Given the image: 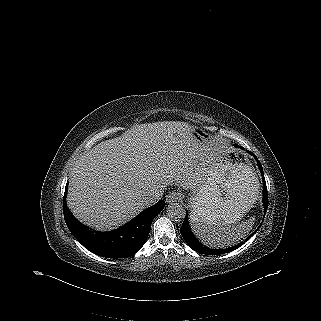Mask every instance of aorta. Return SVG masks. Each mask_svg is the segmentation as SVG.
I'll list each match as a JSON object with an SVG mask.
<instances>
[{
    "label": "aorta",
    "instance_id": "aorta-1",
    "mask_svg": "<svg viewBox=\"0 0 321 321\" xmlns=\"http://www.w3.org/2000/svg\"><path fill=\"white\" fill-rule=\"evenodd\" d=\"M185 209L179 203H172L167 208V215L170 219L174 221H181L185 218Z\"/></svg>",
    "mask_w": 321,
    "mask_h": 321
}]
</instances>
